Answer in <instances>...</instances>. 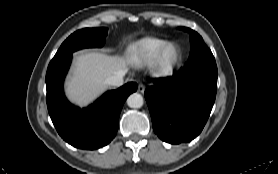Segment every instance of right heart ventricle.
<instances>
[{
	"mask_svg": "<svg viewBox=\"0 0 278 174\" xmlns=\"http://www.w3.org/2000/svg\"><path fill=\"white\" fill-rule=\"evenodd\" d=\"M166 43L162 38L146 37L133 43L129 52L138 65L147 66L153 63L156 54Z\"/></svg>",
	"mask_w": 278,
	"mask_h": 174,
	"instance_id": "obj_1",
	"label": "right heart ventricle"
}]
</instances>
